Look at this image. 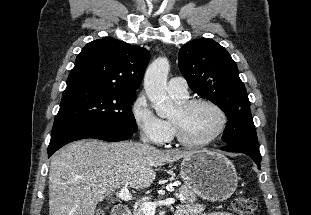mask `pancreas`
Masks as SVG:
<instances>
[{
    "label": "pancreas",
    "mask_w": 311,
    "mask_h": 215,
    "mask_svg": "<svg viewBox=\"0 0 311 215\" xmlns=\"http://www.w3.org/2000/svg\"><path fill=\"white\" fill-rule=\"evenodd\" d=\"M179 193L175 195L179 198L182 203H193L197 200L196 194L189 190L186 186H180L178 189ZM134 215H145L144 212L140 209L134 212Z\"/></svg>",
    "instance_id": "1"
}]
</instances>
